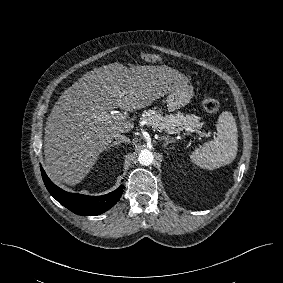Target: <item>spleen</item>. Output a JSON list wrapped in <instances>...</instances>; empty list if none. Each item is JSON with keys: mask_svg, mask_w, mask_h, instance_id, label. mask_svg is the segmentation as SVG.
Segmentation results:
<instances>
[{"mask_svg": "<svg viewBox=\"0 0 283 283\" xmlns=\"http://www.w3.org/2000/svg\"><path fill=\"white\" fill-rule=\"evenodd\" d=\"M217 137L195 149L191 162L203 169H216L235 159L238 149V131L231 112H222L216 124Z\"/></svg>", "mask_w": 283, "mask_h": 283, "instance_id": "3e777b00", "label": "spleen"}]
</instances>
